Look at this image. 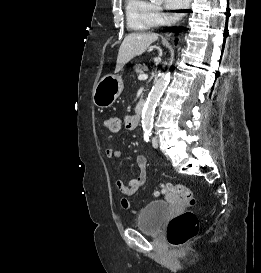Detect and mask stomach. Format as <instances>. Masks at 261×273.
I'll list each match as a JSON object with an SVG mask.
<instances>
[{
	"mask_svg": "<svg viewBox=\"0 0 261 273\" xmlns=\"http://www.w3.org/2000/svg\"><path fill=\"white\" fill-rule=\"evenodd\" d=\"M124 88L121 76L105 75L93 90V103L100 108L110 107Z\"/></svg>",
	"mask_w": 261,
	"mask_h": 273,
	"instance_id": "1",
	"label": "stomach"
}]
</instances>
